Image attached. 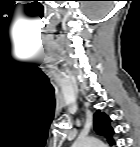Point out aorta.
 Instances as JSON below:
<instances>
[{
	"label": "aorta",
	"mask_w": 140,
	"mask_h": 147,
	"mask_svg": "<svg viewBox=\"0 0 140 147\" xmlns=\"http://www.w3.org/2000/svg\"><path fill=\"white\" fill-rule=\"evenodd\" d=\"M74 147H104L105 144L97 139V138H94V137H87V138H79L77 139L74 144H73Z\"/></svg>",
	"instance_id": "obj_1"
}]
</instances>
